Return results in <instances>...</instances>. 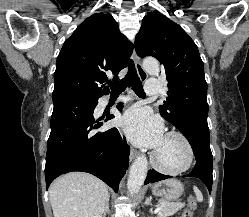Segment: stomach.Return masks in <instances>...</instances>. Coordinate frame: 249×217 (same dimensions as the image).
I'll return each mask as SVG.
<instances>
[{"mask_svg": "<svg viewBox=\"0 0 249 217\" xmlns=\"http://www.w3.org/2000/svg\"><path fill=\"white\" fill-rule=\"evenodd\" d=\"M183 191L184 187L182 183L174 178L157 182L152 186V194L168 202L178 199Z\"/></svg>", "mask_w": 249, "mask_h": 217, "instance_id": "1", "label": "stomach"}]
</instances>
